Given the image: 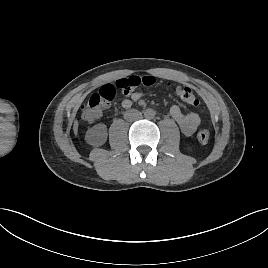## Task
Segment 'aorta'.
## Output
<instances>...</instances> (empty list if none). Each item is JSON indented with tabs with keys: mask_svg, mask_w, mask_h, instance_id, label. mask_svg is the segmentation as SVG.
Instances as JSON below:
<instances>
[{
	"mask_svg": "<svg viewBox=\"0 0 268 268\" xmlns=\"http://www.w3.org/2000/svg\"><path fill=\"white\" fill-rule=\"evenodd\" d=\"M144 117L146 119H153L155 117V111L151 108L144 111Z\"/></svg>",
	"mask_w": 268,
	"mask_h": 268,
	"instance_id": "aorta-1",
	"label": "aorta"
}]
</instances>
